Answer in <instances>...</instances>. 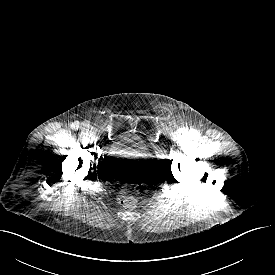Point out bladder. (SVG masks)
I'll list each match as a JSON object with an SVG mask.
<instances>
[{
    "mask_svg": "<svg viewBox=\"0 0 275 275\" xmlns=\"http://www.w3.org/2000/svg\"><path fill=\"white\" fill-rule=\"evenodd\" d=\"M158 148L148 134L127 130L113 140L105 159V168L116 179L141 180L155 169Z\"/></svg>",
    "mask_w": 275,
    "mask_h": 275,
    "instance_id": "31cf9c89",
    "label": "bladder"
}]
</instances>
